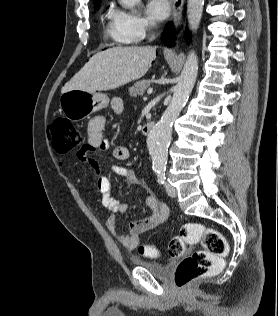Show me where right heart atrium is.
<instances>
[{"label": "right heart atrium", "instance_id": "right-heart-atrium-1", "mask_svg": "<svg viewBox=\"0 0 278 316\" xmlns=\"http://www.w3.org/2000/svg\"><path fill=\"white\" fill-rule=\"evenodd\" d=\"M112 18L119 37L126 43L140 42L153 28L150 20L121 8L112 11Z\"/></svg>", "mask_w": 278, "mask_h": 316}]
</instances>
